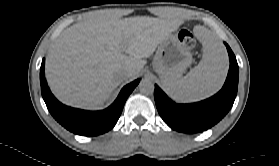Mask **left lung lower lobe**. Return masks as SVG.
Segmentation results:
<instances>
[{"instance_id": "0a47b994", "label": "left lung lower lobe", "mask_w": 279, "mask_h": 166, "mask_svg": "<svg viewBox=\"0 0 279 166\" xmlns=\"http://www.w3.org/2000/svg\"><path fill=\"white\" fill-rule=\"evenodd\" d=\"M230 67L223 88L211 98L192 104H176L155 85L154 99L164 122L172 129L184 133H198L218 123L231 109L238 88V64L226 44Z\"/></svg>"}]
</instances>
